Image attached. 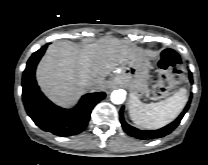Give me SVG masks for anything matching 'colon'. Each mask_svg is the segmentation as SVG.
<instances>
[{
  "instance_id": "1",
  "label": "colon",
  "mask_w": 208,
  "mask_h": 165,
  "mask_svg": "<svg viewBox=\"0 0 208 165\" xmlns=\"http://www.w3.org/2000/svg\"><path fill=\"white\" fill-rule=\"evenodd\" d=\"M158 66L159 72L154 79L153 94L162 97L169 93L181 79V58L174 50L166 49L161 55Z\"/></svg>"
}]
</instances>
